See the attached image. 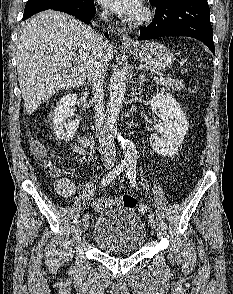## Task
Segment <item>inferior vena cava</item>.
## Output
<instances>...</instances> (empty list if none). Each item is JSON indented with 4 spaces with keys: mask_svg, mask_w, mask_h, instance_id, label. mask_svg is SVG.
I'll list each match as a JSON object with an SVG mask.
<instances>
[{
    "mask_svg": "<svg viewBox=\"0 0 233 294\" xmlns=\"http://www.w3.org/2000/svg\"><path fill=\"white\" fill-rule=\"evenodd\" d=\"M108 11L101 13L102 20H106ZM96 48L92 54L87 67V77L93 90L94 108H95V127L100 143V153L105 165H111L115 161L116 150L113 136L107 126V118L104 110V79L106 75L107 60L104 55V49L107 42L103 37L97 35Z\"/></svg>",
    "mask_w": 233,
    "mask_h": 294,
    "instance_id": "inferior-vena-cava-1",
    "label": "inferior vena cava"
}]
</instances>
